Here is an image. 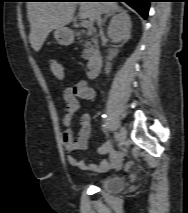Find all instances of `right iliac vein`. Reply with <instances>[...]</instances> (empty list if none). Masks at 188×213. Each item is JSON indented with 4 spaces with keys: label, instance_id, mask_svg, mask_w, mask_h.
<instances>
[{
    "label": "right iliac vein",
    "instance_id": "1",
    "mask_svg": "<svg viewBox=\"0 0 188 213\" xmlns=\"http://www.w3.org/2000/svg\"><path fill=\"white\" fill-rule=\"evenodd\" d=\"M126 134L127 131L124 127H121L120 131H119V144L120 146L124 144L125 139H126Z\"/></svg>",
    "mask_w": 188,
    "mask_h": 213
}]
</instances>
